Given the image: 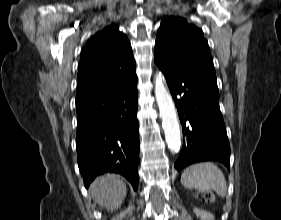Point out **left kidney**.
<instances>
[{
	"instance_id": "5707ae66",
	"label": "left kidney",
	"mask_w": 281,
	"mask_h": 220,
	"mask_svg": "<svg viewBox=\"0 0 281 220\" xmlns=\"http://www.w3.org/2000/svg\"><path fill=\"white\" fill-rule=\"evenodd\" d=\"M194 213L201 220H214V215L211 214L208 211H205V210H202V209H199V208H194Z\"/></svg>"
}]
</instances>
